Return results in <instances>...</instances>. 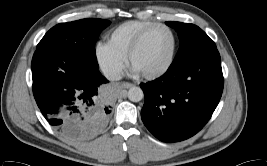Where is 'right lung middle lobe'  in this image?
<instances>
[{"label":"right lung middle lobe","mask_w":267,"mask_h":166,"mask_svg":"<svg viewBox=\"0 0 267 166\" xmlns=\"http://www.w3.org/2000/svg\"><path fill=\"white\" fill-rule=\"evenodd\" d=\"M110 23L108 20L89 18L57 24L45 34L37 49L53 47L98 68L95 43Z\"/></svg>","instance_id":"dd1d6c3e"}]
</instances>
